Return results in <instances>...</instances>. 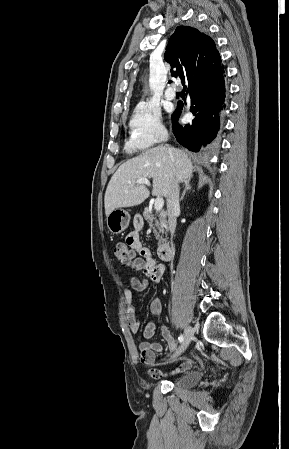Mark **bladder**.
I'll list each match as a JSON object with an SVG mask.
<instances>
[{
	"label": "bladder",
	"instance_id": "31cf9c89",
	"mask_svg": "<svg viewBox=\"0 0 289 449\" xmlns=\"http://www.w3.org/2000/svg\"><path fill=\"white\" fill-rule=\"evenodd\" d=\"M201 371H190L174 381V385L179 388H190L196 385L202 378Z\"/></svg>",
	"mask_w": 289,
	"mask_h": 449
}]
</instances>
